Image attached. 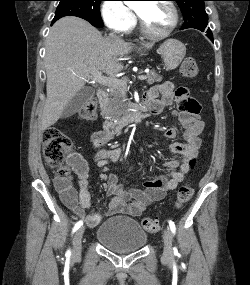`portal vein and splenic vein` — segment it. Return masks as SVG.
<instances>
[{
  "mask_svg": "<svg viewBox=\"0 0 250 285\" xmlns=\"http://www.w3.org/2000/svg\"><path fill=\"white\" fill-rule=\"evenodd\" d=\"M138 80L143 81L147 77L146 75H139ZM90 79L96 81L99 84H103L109 87H116V86H127V82L124 79H117L113 76H103L101 72H95L90 76Z\"/></svg>",
  "mask_w": 250,
  "mask_h": 285,
  "instance_id": "18ae733b",
  "label": "portal vein and splenic vein"
}]
</instances>
